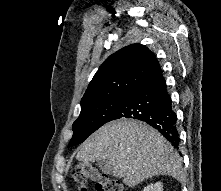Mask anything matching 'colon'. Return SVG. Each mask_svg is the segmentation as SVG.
Returning a JSON list of instances; mask_svg holds the SVG:
<instances>
[{"label": "colon", "mask_w": 221, "mask_h": 191, "mask_svg": "<svg viewBox=\"0 0 221 191\" xmlns=\"http://www.w3.org/2000/svg\"><path fill=\"white\" fill-rule=\"evenodd\" d=\"M71 178L78 191H88L89 182L94 184L96 191H124V186L119 180L109 177L89 164L76 165Z\"/></svg>", "instance_id": "1"}]
</instances>
